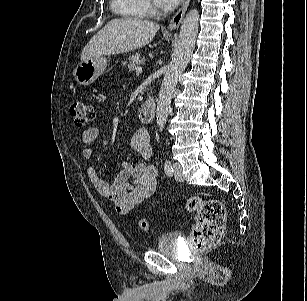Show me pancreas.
<instances>
[{
    "label": "pancreas",
    "instance_id": "obj_1",
    "mask_svg": "<svg viewBox=\"0 0 307 301\" xmlns=\"http://www.w3.org/2000/svg\"><path fill=\"white\" fill-rule=\"evenodd\" d=\"M143 63H145L144 55L136 53L135 55H132L131 57L128 58V62L125 63V65L130 72H133L136 70L137 67H139L140 64Z\"/></svg>",
    "mask_w": 307,
    "mask_h": 301
}]
</instances>
